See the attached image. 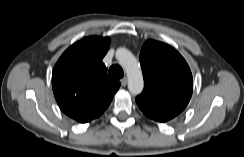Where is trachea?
<instances>
[{
  "instance_id": "trachea-1",
  "label": "trachea",
  "mask_w": 244,
  "mask_h": 157,
  "mask_svg": "<svg viewBox=\"0 0 244 157\" xmlns=\"http://www.w3.org/2000/svg\"><path fill=\"white\" fill-rule=\"evenodd\" d=\"M108 73H109V75L111 77H114V78H117V79L122 78L123 75H124L123 70H122V68L119 65L111 66V68L109 69Z\"/></svg>"
}]
</instances>
